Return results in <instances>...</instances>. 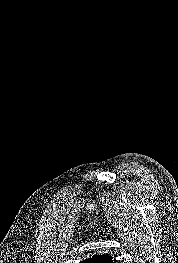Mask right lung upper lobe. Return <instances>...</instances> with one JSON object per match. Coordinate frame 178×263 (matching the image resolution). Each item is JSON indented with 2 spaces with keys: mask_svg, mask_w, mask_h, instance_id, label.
<instances>
[{
  "mask_svg": "<svg viewBox=\"0 0 178 263\" xmlns=\"http://www.w3.org/2000/svg\"><path fill=\"white\" fill-rule=\"evenodd\" d=\"M80 263H116V260H112V256L109 254L94 255L91 258L80 261Z\"/></svg>",
  "mask_w": 178,
  "mask_h": 263,
  "instance_id": "cb5924a9",
  "label": "right lung upper lobe"
}]
</instances>
